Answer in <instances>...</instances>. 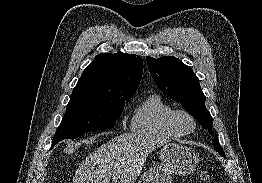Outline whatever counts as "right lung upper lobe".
Segmentation results:
<instances>
[{"mask_svg": "<svg viewBox=\"0 0 262 183\" xmlns=\"http://www.w3.org/2000/svg\"><path fill=\"white\" fill-rule=\"evenodd\" d=\"M143 73V60L118 52L101 53L84 70L72 96L87 95L111 99L134 96Z\"/></svg>", "mask_w": 262, "mask_h": 183, "instance_id": "cb5924a9", "label": "right lung upper lobe"}]
</instances>
